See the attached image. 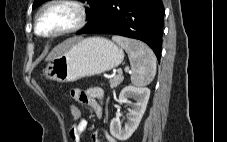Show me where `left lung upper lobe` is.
<instances>
[{"label":"left lung upper lobe","instance_id":"1","mask_svg":"<svg viewBox=\"0 0 227 142\" xmlns=\"http://www.w3.org/2000/svg\"><path fill=\"white\" fill-rule=\"evenodd\" d=\"M47 0H34L33 8H36L40 4L44 3ZM107 0H84L82 2H87L90 8L86 9L87 18L90 21L96 16L99 9L104 5Z\"/></svg>","mask_w":227,"mask_h":142}]
</instances>
